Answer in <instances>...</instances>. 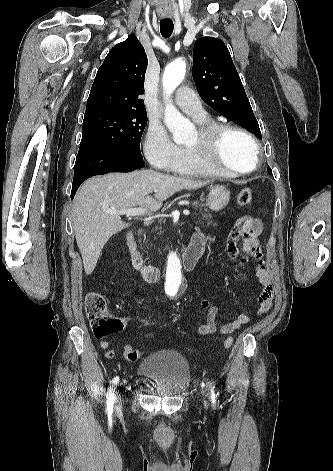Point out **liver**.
Listing matches in <instances>:
<instances>
[{
	"label": "liver",
	"mask_w": 333,
	"mask_h": 471,
	"mask_svg": "<svg viewBox=\"0 0 333 471\" xmlns=\"http://www.w3.org/2000/svg\"><path fill=\"white\" fill-rule=\"evenodd\" d=\"M208 184L163 174L154 170L110 173L88 179L74 199L73 226L85 273L96 267L103 246L114 234L130 226L114 210L141 206L157 211L163 201L182 189H198ZM154 191V197L149 194Z\"/></svg>",
	"instance_id": "obj_1"
}]
</instances>
